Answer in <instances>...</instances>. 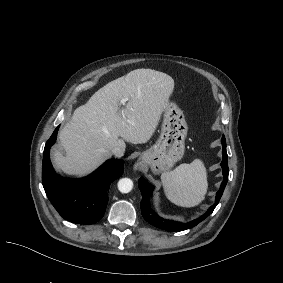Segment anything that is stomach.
I'll list each match as a JSON object with an SVG mask.
<instances>
[{"label": "stomach", "mask_w": 283, "mask_h": 283, "mask_svg": "<svg viewBox=\"0 0 283 283\" xmlns=\"http://www.w3.org/2000/svg\"><path fill=\"white\" fill-rule=\"evenodd\" d=\"M163 111L160 137L141 154L138 162L144 167L150 166L154 173L166 171L182 159L188 131L183 111L175 103L168 101Z\"/></svg>", "instance_id": "0dacf381"}]
</instances>
